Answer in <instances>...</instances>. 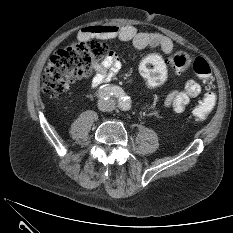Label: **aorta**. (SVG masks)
<instances>
[{"instance_id": "762f6f07", "label": "aorta", "mask_w": 233, "mask_h": 233, "mask_svg": "<svg viewBox=\"0 0 233 233\" xmlns=\"http://www.w3.org/2000/svg\"><path fill=\"white\" fill-rule=\"evenodd\" d=\"M129 107H130V103L127 100H125V106H124V108L128 109Z\"/></svg>"}]
</instances>
